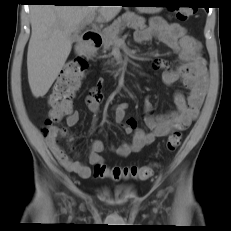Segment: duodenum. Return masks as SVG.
<instances>
[{
	"instance_id": "obj_1",
	"label": "duodenum",
	"mask_w": 231,
	"mask_h": 231,
	"mask_svg": "<svg viewBox=\"0 0 231 231\" xmlns=\"http://www.w3.org/2000/svg\"><path fill=\"white\" fill-rule=\"evenodd\" d=\"M83 45L80 49L82 53H90L97 50L102 45V36L96 30H88L82 34Z\"/></svg>"
}]
</instances>
